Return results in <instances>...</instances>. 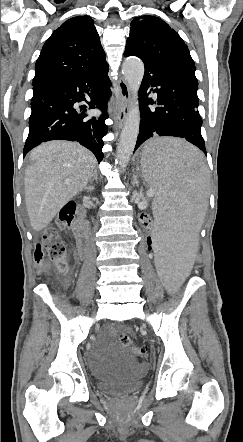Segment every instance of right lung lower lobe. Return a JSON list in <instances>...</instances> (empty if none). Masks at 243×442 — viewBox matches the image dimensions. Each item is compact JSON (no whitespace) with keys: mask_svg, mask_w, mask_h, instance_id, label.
Wrapping results in <instances>:
<instances>
[{"mask_svg":"<svg viewBox=\"0 0 243 442\" xmlns=\"http://www.w3.org/2000/svg\"><path fill=\"white\" fill-rule=\"evenodd\" d=\"M108 65L81 74H67L33 82L29 135L24 147V156L35 146L49 140L77 141L91 150L98 162L103 159V136L108 127L105 124L107 101L111 82L107 75ZM85 93L91 98L86 101ZM81 105L79 114L76 103ZM99 108L102 115L88 118L86 108Z\"/></svg>","mask_w":243,"mask_h":442,"instance_id":"1","label":"right lung lower lobe"}]
</instances>
